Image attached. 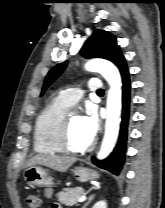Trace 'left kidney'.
I'll return each instance as SVG.
<instances>
[{
	"instance_id": "1",
	"label": "left kidney",
	"mask_w": 165,
	"mask_h": 208,
	"mask_svg": "<svg viewBox=\"0 0 165 208\" xmlns=\"http://www.w3.org/2000/svg\"><path fill=\"white\" fill-rule=\"evenodd\" d=\"M92 208H107V203L106 201L102 200V201H98L97 203H95L93 205Z\"/></svg>"
}]
</instances>
